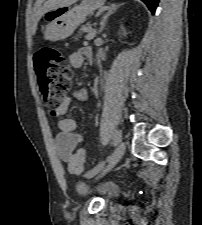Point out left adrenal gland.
Returning <instances> with one entry per match:
<instances>
[{"label":"left adrenal gland","instance_id":"a2214340","mask_svg":"<svg viewBox=\"0 0 202 225\" xmlns=\"http://www.w3.org/2000/svg\"><path fill=\"white\" fill-rule=\"evenodd\" d=\"M118 7L119 6L114 5V4H112L110 7H108V12L101 19L99 33H102V31L105 28V25H106V22H107L108 17L111 14H113L117 10Z\"/></svg>","mask_w":202,"mask_h":225}]
</instances>
